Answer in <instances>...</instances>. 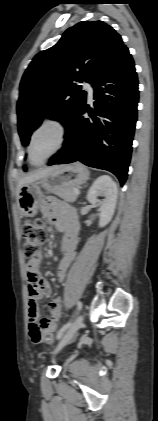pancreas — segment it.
<instances>
[{
  "label": "pancreas",
  "instance_id": "cf45deb5",
  "mask_svg": "<svg viewBox=\"0 0 158 421\" xmlns=\"http://www.w3.org/2000/svg\"><path fill=\"white\" fill-rule=\"evenodd\" d=\"M74 189L76 188L75 187L65 188V189L56 191L55 194L61 199H63L64 201L72 203V202H75L77 199V195L74 194Z\"/></svg>",
  "mask_w": 158,
  "mask_h": 421
}]
</instances>
